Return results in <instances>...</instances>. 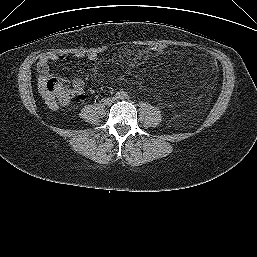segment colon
<instances>
[{
	"label": "colon",
	"instance_id": "obj_1",
	"mask_svg": "<svg viewBox=\"0 0 257 257\" xmlns=\"http://www.w3.org/2000/svg\"><path fill=\"white\" fill-rule=\"evenodd\" d=\"M151 51L161 53L165 50L162 44L151 46ZM41 91L52 107L68 104L73 98V91L65 85L59 78L50 77L41 86Z\"/></svg>",
	"mask_w": 257,
	"mask_h": 257
}]
</instances>
